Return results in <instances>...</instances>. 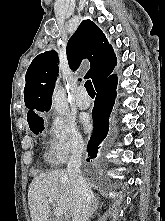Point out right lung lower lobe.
<instances>
[{"label":"right lung lower lobe","mask_w":165,"mask_h":221,"mask_svg":"<svg viewBox=\"0 0 165 221\" xmlns=\"http://www.w3.org/2000/svg\"><path fill=\"white\" fill-rule=\"evenodd\" d=\"M116 87V75H111L95 87L97 96L92 111L94 130L87 146L88 161L97 156L98 150L108 134L109 116L116 97Z\"/></svg>","instance_id":"98d812e1"}]
</instances>
